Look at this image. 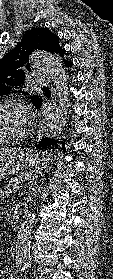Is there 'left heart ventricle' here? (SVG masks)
I'll return each mask as SVG.
<instances>
[{"label":"left heart ventricle","instance_id":"1","mask_svg":"<svg viewBox=\"0 0 113 279\" xmlns=\"http://www.w3.org/2000/svg\"><path fill=\"white\" fill-rule=\"evenodd\" d=\"M27 123V113L23 109L10 104L0 105V137L20 135Z\"/></svg>","mask_w":113,"mask_h":279}]
</instances>
